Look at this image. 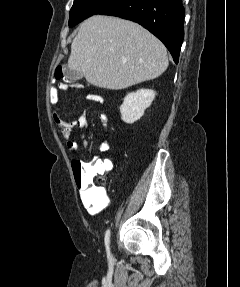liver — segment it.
Returning <instances> with one entry per match:
<instances>
[{
	"instance_id": "liver-1",
	"label": "liver",
	"mask_w": 240,
	"mask_h": 287,
	"mask_svg": "<svg viewBox=\"0 0 240 287\" xmlns=\"http://www.w3.org/2000/svg\"><path fill=\"white\" fill-rule=\"evenodd\" d=\"M68 67L94 86L121 90L159 77L168 58L162 42L139 24L96 15L81 24Z\"/></svg>"
}]
</instances>
